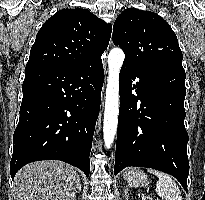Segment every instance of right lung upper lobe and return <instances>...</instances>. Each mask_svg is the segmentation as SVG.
<instances>
[{
    "label": "right lung upper lobe",
    "mask_w": 205,
    "mask_h": 200,
    "mask_svg": "<svg viewBox=\"0 0 205 200\" xmlns=\"http://www.w3.org/2000/svg\"><path fill=\"white\" fill-rule=\"evenodd\" d=\"M112 27L85 9H62L38 31L27 66L75 67L100 59Z\"/></svg>",
    "instance_id": "cb5924a9"
}]
</instances>
